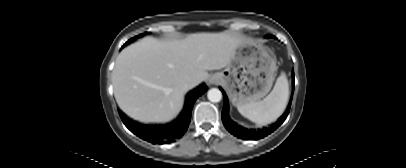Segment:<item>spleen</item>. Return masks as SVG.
<instances>
[{"mask_svg": "<svg viewBox=\"0 0 406 168\" xmlns=\"http://www.w3.org/2000/svg\"><path fill=\"white\" fill-rule=\"evenodd\" d=\"M288 98V80L285 73H282L266 98L237 108L240 114L250 121L259 125H267L282 115L287 106Z\"/></svg>", "mask_w": 406, "mask_h": 168, "instance_id": "3e777b00", "label": "spleen"}]
</instances>
